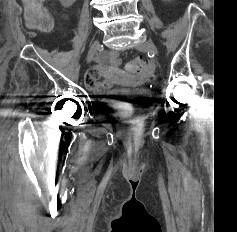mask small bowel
I'll use <instances>...</instances> for the list:
<instances>
[{"mask_svg":"<svg viewBox=\"0 0 237 232\" xmlns=\"http://www.w3.org/2000/svg\"><path fill=\"white\" fill-rule=\"evenodd\" d=\"M109 62L108 67L96 66L88 70L85 76V84L93 93L101 95L106 92L110 94L112 82L109 79L100 80L101 77L106 76L110 73H115L118 70L120 64L119 54L117 51H110L105 58Z\"/></svg>","mask_w":237,"mask_h":232,"instance_id":"obj_1","label":"small bowel"}]
</instances>
